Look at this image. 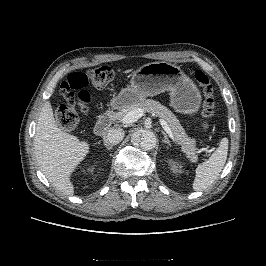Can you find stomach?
I'll list each match as a JSON object with an SVG mask.
<instances>
[{"label":"stomach","mask_w":266,"mask_h":266,"mask_svg":"<svg viewBox=\"0 0 266 266\" xmlns=\"http://www.w3.org/2000/svg\"><path fill=\"white\" fill-rule=\"evenodd\" d=\"M165 91L169 92L170 106L176 112L193 115L198 111L201 104L198 87L179 66L165 61L148 63L136 70L130 86L121 89L111 106H130Z\"/></svg>","instance_id":"obj_1"}]
</instances>
